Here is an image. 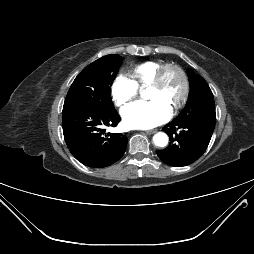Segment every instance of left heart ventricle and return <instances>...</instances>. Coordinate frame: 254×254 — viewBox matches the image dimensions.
<instances>
[{
  "label": "left heart ventricle",
  "mask_w": 254,
  "mask_h": 254,
  "mask_svg": "<svg viewBox=\"0 0 254 254\" xmlns=\"http://www.w3.org/2000/svg\"><path fill=\"white\" fill-rule=\"evenodd\" d=\"M182 92V81L176 71L165 72L162 84L158 88H149L147 99L156 100L163 106L172 110Z\"/></svg>",
  "instance_id": "left-heart-ventricle-1"
}]
</instances>
